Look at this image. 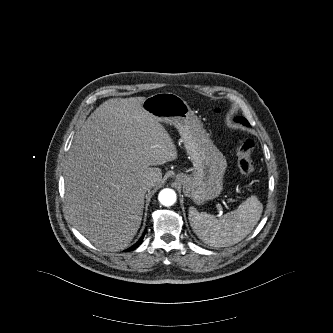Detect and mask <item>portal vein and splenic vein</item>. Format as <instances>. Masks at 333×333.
I'll list each match as a JSON object with an SVG mask.
<instances>
[{"label": "portal vein and splenic vein", "instance_id": "portal-vein-and-splenic-vein-1", "mask_svg": "<svg viewBox=\"0 0 333 333\" xmlns=\"http://www.w3.org/2000/svg\"><path fill=\"white\" fill-rule=\"evenodd\" d=\"M217 209H218V210H221V209H222V207H221L220 204H217Z\"/></svg>", "mask_w": 333, "mask_h": 333}]
</instances>
